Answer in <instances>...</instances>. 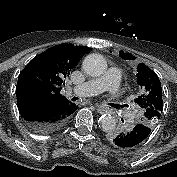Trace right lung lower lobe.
I'll list each match as a JSON object with an SVG mask.
<instances>
[{"label":"right lung lower lobe","mask_w":177,"mask_h":177,"mask_svg":"<svg viewBox=\"0 0 177 177\" xmlns=\"http://www.w3.org/2000/svg\"><path fill=\"white\" fill-rule=\"evenodd\" d=\"M21 116L27 126L40 134L61 128L78 107L71 102H51L46 99L17 98Z\"/></svg>","instance_id":"obj_1"}]
</instances>
